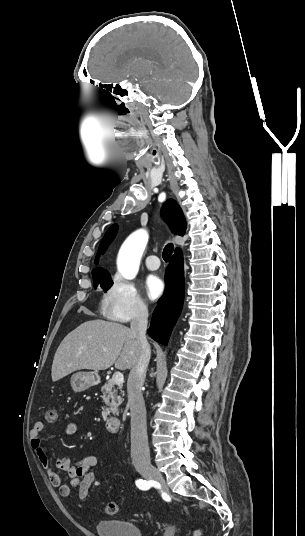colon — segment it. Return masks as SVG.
<instances>
[{
    "label": "colon",
    "mask_w": 305,
    "mask_h": 536,
    "mask_svg": "<svg viewBox=\"0 0 305 536\" xmlns=\"http://www.w3.org/2000/svg\"><path fill=\"white\" fill-rule=\"evenodd\" d=\"M55 409H48L45 413V418L47 421H51L55 417ZM100 480V477L98 475H92L88 474L85 477V481L82 482L80 488H79V501L81 503H84L86 501V498L89 496V491L92 487V482H98ZM119 510V507L116 502L110 501L107 502L105 505V512L107 514H116ZM193 536H203V533L201 531H196Z\"/></svg>",
    "instance_id": "5ec220e1"
}]
</instances>
